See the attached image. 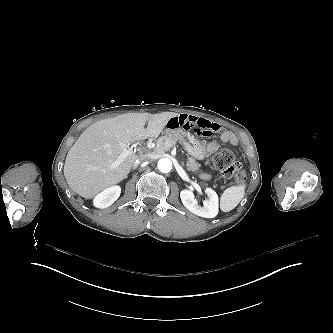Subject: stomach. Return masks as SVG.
Instances as JSON below:
<instances>
[{
    "label": "stomach",
    "mask_w": 333,
    "mask_h": 333,
    "mask_svg": "<svg viewBox=\"0 0 333 333\" xmlns=\"http://www.w3.org/2000/svg\"><path fill=\"white\" fill-rule=\"evenodd\" d=\"M164 133L166 135H177L182 139L183 143L187 147L189 153L198 160L206 159L210 156V152L206 148V142L194 137L189 132H185V137L179 133L178 128H166ZM179 133V134H178Z\"/></svg>",
    "instance_id": "obj_1"
}]
</instances>
